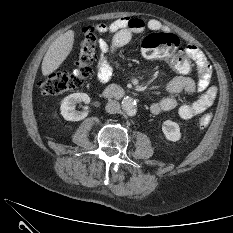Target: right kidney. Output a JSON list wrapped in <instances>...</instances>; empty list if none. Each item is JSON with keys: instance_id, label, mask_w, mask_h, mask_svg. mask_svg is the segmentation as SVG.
<instances>
[{"instance_id": "right-kidney-1", "label": "right kidney", "mask_w": 233, "mask_h": 233, "mask_svg": "<svg viewBox=\"0 0 233 233\" xmlns=\"http://www.w3.org/2000/svg\"><path fill=\"white\" fill-rule=\"evenodd\" d=\"M78 102L88 104L90 97L86 93H73L62 100L60 110L65 120L80 121L87 117L88 111H77L75 109V105Z\"/></svg>"}]
</instances>
